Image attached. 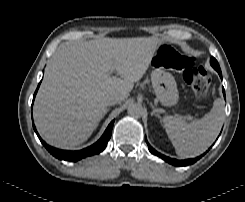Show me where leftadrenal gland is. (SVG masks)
Wrapping results in <instances>:
<instances>
[{"instance_id": "left-adrenal-gland-1", "label": "left adrenal gland", "mask_w": 245, "mask_h": 202, "mask_svg": "<svg viewBox=\"0 0 245 202\" xmlns=\"http://www.w3.org/2000/svg\"><path fill=\"white\" fill-rule=\"evenodd\" d=\"M151 107H152V109H153V111H152V113H151V115L153 116H156L157 118H161L160 117V115H159V112H158V110L154 107V105L153 104H151Z\"/></svg>"}]
</instances>
